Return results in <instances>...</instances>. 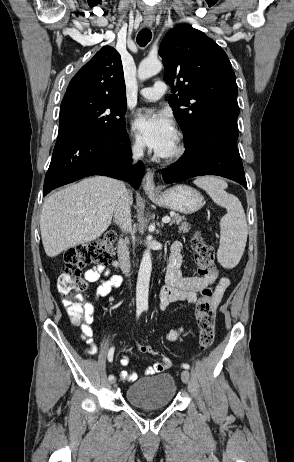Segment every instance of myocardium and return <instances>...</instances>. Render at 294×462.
<instances>
[{
    "instance_id": "f54148a6",
    "label": "myocardium",
    "mask_w": 294,
    "mask_h": 462,
    "mask_svg": "<svg viewBox=\"0 0 294 462\" xmlns=\"http://www.w3.org/2000/svg\"><path fill=\"white\" fill-rule=\"evenodd\" d=\"M186 152V145L182 134H176V143L174 150L166 155L161 156L165 162H174L179 160Z\"/></svg>"
}]
</instances>
